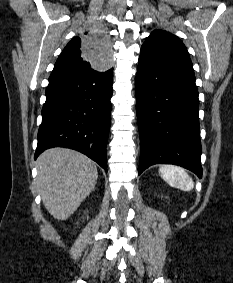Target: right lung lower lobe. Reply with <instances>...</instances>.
<instances>
[{
    "label": "right lung lower lobe",
    "instance_id": "1",
    "mask_svg": "<svg viewBox=\"0 0 233 283\" xmlns=\"http://www.w3.org/2000/svg\"><path fill=\"white\" fill-rule=\"evenodd\" d=\"M113 68L53 71L46 88L35 159L46 149L82 152L107 171Z\"/></svg>",
    "mask_w": 233,
    "mask_h": 283
}]
</instances>
